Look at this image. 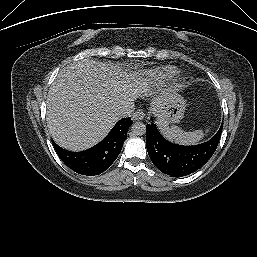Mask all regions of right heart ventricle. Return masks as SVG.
<instances>
[{
  "mask_svg": "<svg viewBox=\"0 0 257 257\" xmlns=\"http://www.w3.org/2000/svg\"><path fill=\"white\" fill-rule=\"evenodd\" d=\"M177 73L173 66H163L150 73V81L155 86H162L168 83Z\"/></svg>",
  "mask_w": 257,
  "mask_h": 257,
  "instance_id": "e07e8e85",
  "label": "right heart ventricle"
}]
</instances>
